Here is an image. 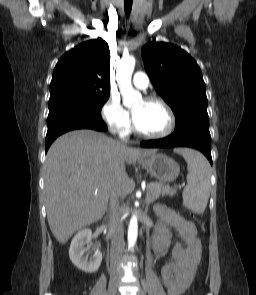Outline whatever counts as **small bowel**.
<instances>
[{"instance_id": "obj_1", "label": "small bowel", "mask_w": 256, "mask_h": 295, "mask_svg": "<svg viewBox=\"0 0 256 295\" xmlns=\"http://www.w3.org/2000/svg\"><path fill=\"white\" fill-rule=\"evenodd\" d=\"M156 213L158 223L153 239L154 251L161 253L167 249L170 228L176 229L181 238L173 248L172 259L160 269V278L168 295H181L189 287L200 261V241L194 224L174 210L159 206Z\"/></svg>"}]
</instances>
